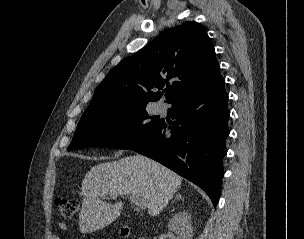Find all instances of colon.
<instances>
[{"instance_id":"obj_1","label":"colon","mask_w":304,"mask_h":239,"mask_svg":"<svg viewBox=\"0 0 304 239\" xmlns=\"http://www.w3.org/2000/svg\"><path fill=\"white\" fill-rule=\"evenodd\" d=\"M56 207L63 218H73L79 210V202L69 197H58L55 201ZM128 229H122V235L127 236Z\"/></svg>"}]
</instances>
